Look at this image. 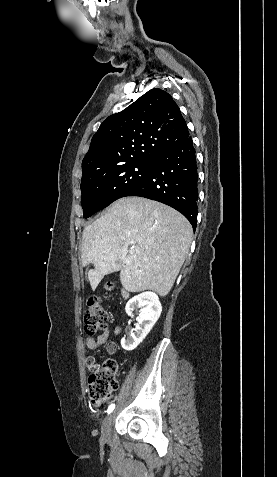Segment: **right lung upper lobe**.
Listing matches in <instances>:
<instances>
[{
    "label": "right lung upper lobe",
    "mask_w": 277,
    "mask_h": 477,
    "mask_svg": "<svg viewBox=\"0 0 277 477\" xmlns=\"http://www.w3.org/2000/svg\"><path fill=\"white\" fill-rule=\"evenodd\" d=\"M188 137L186 122L171 95L151 89L102 122L83 159L82 171L152 162Z\"/></svg>",
    "instance_id": "cb5924a9"
}]
</instances>
